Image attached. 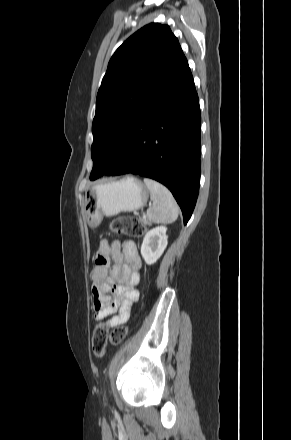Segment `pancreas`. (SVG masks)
Segmentation results:
<instances>
[{"label":"pancreas","instance_id":"pancreas-1","mask_svg":"<svg viewBox=\"0 0 291 440\" xmlns=\"http://www.w3.org/2000/svg\"><path fill=\"white\" fill-rule=\"evenodd\" d=\"M139 222L142 224V225H144V226H149L151 223L147 220V219H145V218H142V219H139Z\"/></svg>","mask_w":291,"mask_h":440}]
</instances>
